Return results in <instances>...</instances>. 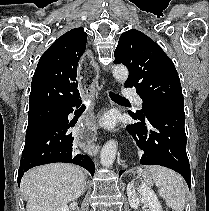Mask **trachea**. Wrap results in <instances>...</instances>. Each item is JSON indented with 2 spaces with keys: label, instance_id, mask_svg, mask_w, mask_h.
I'll return each mask as SVG.
<instances>
[{
  "label": "trachea",
  "instance_id": "3493384b",
  "mask_svg": "<svg viewBox=\"0 0 209 211\" xmlns=\"http://www.w3.org/2000/svg\"><path fill=\"white\" fill-rule=\"evenodd\" d=\"M110 97L114 101H128L127 99H125V98L121 97L120 95H117L113 92L110 93Z\"/></svg>",
  "mask_w": 209,
  "mask_h": 211
}]
</instances>
